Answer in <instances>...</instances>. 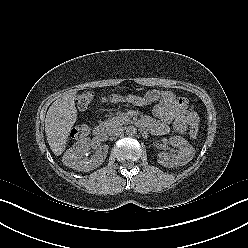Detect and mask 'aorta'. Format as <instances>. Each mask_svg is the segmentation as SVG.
<instances>
[{"mask_svg":"<svg viewBox=\"0 0 248 248\" xmlns=\"http://www.w3.org/2000/svg\"><path fill=\"white\" fill-rule=\"evenodd\" d=\"M126 134L128 136H135L137 134V129L133 125H129L126 127Z\"/></svg>","mask_w":248,"mask_h":248,"instance_id":"1","label":"aorta"}]
</instances>
